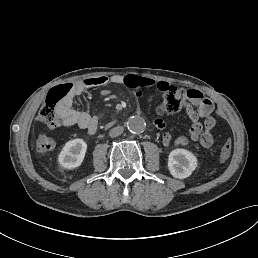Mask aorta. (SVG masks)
<instances>
[{
  "label": "aorta",
  "instance_id": "762f6f07",
  "mask_svg": "<svg viewBox=\"0 0 258 258\" xmlns=\"http://www.w3.org/2000/svg\"><path fill=\"white\" fill-rule=\"evenodd\" d=\"M127 128L133 134H140L146 128V121L142 116H132L127 121Z\"/></svg>",
  "mask_w": 258,
  "mask_h": 258
}]
</instances>
